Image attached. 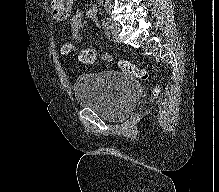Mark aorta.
Masks as SVG:
<instances>
[{"instance_id":"1","label":"aorta","mask_w":219,"mask_h":192,"mask_svg":"<svg viewBox=\"0 0 219 192\" xmlns=\"http://www.w3.org/2000/svg\"><path fill=\"white\" fill-rule=\"evenodd\" d=\"M104 1H106V0H98L99 3H103Z\"/></svg>"}]
</instances>
